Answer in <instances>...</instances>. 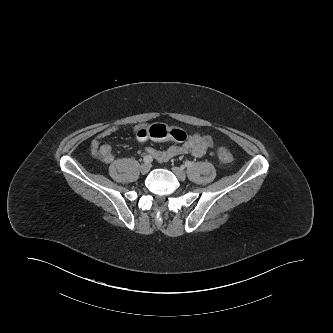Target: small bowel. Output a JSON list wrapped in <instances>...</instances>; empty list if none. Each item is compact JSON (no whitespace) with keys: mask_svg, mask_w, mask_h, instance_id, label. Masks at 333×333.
Returning <instances> with one entry per match:
<instances>
[{"mask_svg":"<svg viewBox=\"0 0 333 333\" xmlns=\"http://www.w3.org/2000/svg\"><path fill=\"white\" fill-rule=\"evenodd\" d=\"M141 127H136L138 131ZM117 127L112 126L101 131L90 144V151L93 157L101 160L104 163H111L114 160L112 148L108 144H102V141L111 136L117 131ZM214 146L213 139L203 133L186 134V139L181 145H172L166 150L160 151L151 146H146V153L154 157L159 162H165L174 157H180L191 154L194 157H202L205 153Z\"/></svg>","mask_w":333,"mask_h":333,"instance_id":"small-bowel-1","label":"small bowel"}]
</instances>
